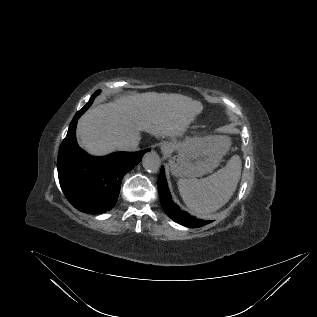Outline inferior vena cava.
Segmentation results:
<instances>
[{"label":"inferior vena cava","mask_w":317,"mask_h":317,"mask_svg":"<svg viewBox=\"0 0 317 317\" xmlns=\"http://www.w3.org/2000/svg\"><path fill=\"white\" fill-rule=\"evenodd\" d=\"M119 149L122 151H137L138 142L136 141H127L119 144Z\"/></svg>","instance_id":"602c4592"}]
</instances>
